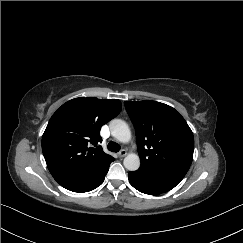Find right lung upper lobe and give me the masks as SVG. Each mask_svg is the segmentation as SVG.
Wrapping results in <instances>:
<instances>
[{
	"instance_id": "right-lung-upper-lobe-1",
	"label": "right lung upper lobe",
	"mask_w": 243,
	"mask_h": 243,
	"mask_svg": "<svg viewBox=\"0 0 243 243\" xmlns=\"http://www.w3.org/2000/svg\"><path fill=\"white\" fill-rule=\"evenodd\" d=\"M122 109L117 99L75 98L51 117L42 137L43 155L54 179L83 174L103 160L101 127Z\"/></svg>"
}]
</instances>
